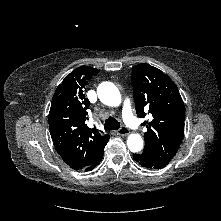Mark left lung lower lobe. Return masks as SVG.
<instances>
[{"instance_id": "1", "label": "left lung lower lobe", "mask_w": 221, "mask_h": 221, "mask_svg": "<svg viewBox=\"0 0 221 221\" xmlns=\"http://www.w3.org/2000/svg\"><path fill=\"white\" fill-rule=\"evenodd\" d=\"M133 159L141 164L142 166L150 169H160L165 167L166 165L159 164L152 160L149 156L145 155L144 153L140 154H133Z\"/></svg>"}]
</instances>
